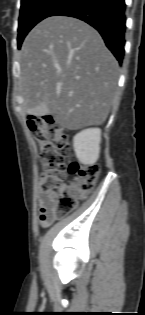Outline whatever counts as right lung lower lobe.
<instances>
[{
    "label": "right lung lower lobe",
    "instance_id": "98d812e1",
    "mask_svg": "<svg viewBox=\"0 0 145 315\" xmlns=\"http://www.w3.org/2000/svg\"><path fill=\"white\" fill-rule=\"evenodd\" d=\"M125 9L124 0H65L50 16L75 17L93 26L121 64L125 45Z\"/></svg>",
    "mask_w": 145,
    "mask_h": 315
}]
</instances>
